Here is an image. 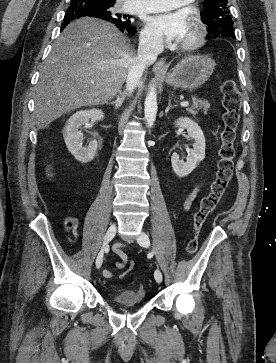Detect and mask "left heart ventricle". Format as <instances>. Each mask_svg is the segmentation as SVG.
<instances>
[{
    "instance_id": "left-heart-ventricle-1",
    "label": "left heart ventricle",
    "mask_w": 276,
    "mask_h": 363,
    "mask_svg": "<svg viewBox=\"0 0 276 363\" xmlns=\"http://www.w3.org/2000/svg\"><path fill=\"white\" fill-rule=\"evenodd\" d=\"M193 35H194V27L191 24V22H189L188 30L180 42L182 43V42L190 40L193 37Z\"/></svg>"
}]
</instances>
